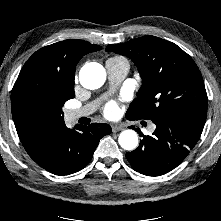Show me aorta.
<instances>
[{
  "label": "aorta",
  "mask_w": 221,
  "mask_h": 221,
  "mask_svg": "<svg viewBox=\"0 0 221 221\" xmlns=\"http://www.w3.org/2000/svg\"><path fill=\"white\" fill-rule=\"evenodd\" d=\"M79 80L81 85L87 89H98L106 80V71L99 63H87L79 72ZM118 142L123 149L134 150L138 146V135L134 130H124L120 133Z\"/></svg>",
  "instance_id": "obj_1"
}]
</instances>
